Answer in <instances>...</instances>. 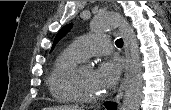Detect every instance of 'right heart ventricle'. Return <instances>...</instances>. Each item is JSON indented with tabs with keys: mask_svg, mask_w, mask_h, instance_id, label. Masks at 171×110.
<instances>
[{
	"mask_svg": "<svg viewBox=\"0 0 171 110\" xmlns=\"http://www.w3.org/2000/svg\"><path fill=\"white\" fill-rule=\"evenodd\" d=\"M84 57L72 46L62 50L50 70L47 84L51 95L61 103H74L78 100L67 86V75Z\"/></svg>",
	"mask_w": 171,
	"mask_h": 110,
	"instance_id": "1",
	"label": "right heart ventricle"
}]
</instances>
